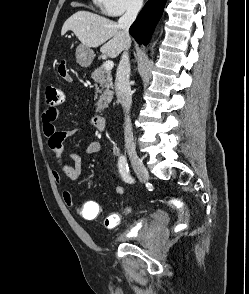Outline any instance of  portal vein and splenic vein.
<instances>
[{
    "label": "portal vein and splenic vein",
    "instance_id": "1",
    "mask_svg": "<svg viewBox=\"0 0 249 294\" xmlns=\"http://www.w3.org/2000/svg\"><path fill=\"white\" fill-rule=\"evenodd\" d=\"M113 66H114V63L111 60H107L104 63V68L107 69V70H111L113 68Z\"/></svg>",
    "mask_w": 249,
    "mask_h": 294
}]
</instances>
